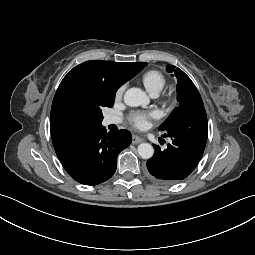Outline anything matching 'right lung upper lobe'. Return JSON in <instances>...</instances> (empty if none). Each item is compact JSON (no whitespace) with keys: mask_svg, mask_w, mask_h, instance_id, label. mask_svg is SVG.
Listing matches in <instances>:
<instances>
[{"mask_svg":"<svg viewBox=\"0 0 255 255\" xmlns=\"http://www.w3.org/2000/svg\"><path fill=\"white\" fill-rule=\"evenodd\" d=\"M146 64L144 62L86 61L74 67L62 81L77 79L115 93L122 84L134 77ZM68 128H72V126L59 121L51 110V133Z\"/></svg>","mask_w":255,"mask_h":255,"instance_id":"right-lung-upper-lobe-1","label":"right lung upper lobe"}]
</instances>
